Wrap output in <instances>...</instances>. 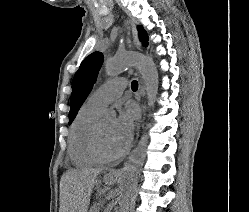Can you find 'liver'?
<instances>
[{
    "label": "liver",
    "mask_w": 249,
    "mask_h": 212,
    "mask_svg": "<svg viewBox=\"0 0 249 212\" xmlns=\"http://www.w3.org/2000/svg\"><path fill=\"white\" fill-rule=\"evenodd\" d=\"M103 168H82V170H69L65 174L67 184V212H88L91 194L94 186L97 184V178ZM120 172L110 170L103 178L106 186H114Z\"/></svg>",
    "instance_id": "liver-1"
}]
</instances>
